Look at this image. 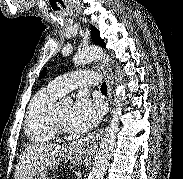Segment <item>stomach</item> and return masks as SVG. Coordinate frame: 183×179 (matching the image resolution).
<instances>
[{
	"label": "stomach",
	"mask_w": 183,
	"mask_h": 179,
	"mask_svg": "<svg viewBox=\"0 0 183 179\" xmlns=\"http://www.w3.org/2000/svg\"><path fill=\"white\" fill-rule=\"evenodd\" d=\"M87 158L88 153L85 148L70 145L64 149V151L59 155V157L56 160H54V162L50 166H55L59 164L60 161H71L73 163L81 164L85 162ZM32 179H49L47 176V170L45 169L43 172L35 175Z\"/></svg>",
	"instance_id": "0dacf381"
}]
</instances>
